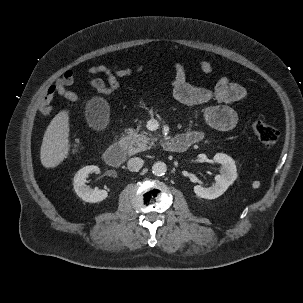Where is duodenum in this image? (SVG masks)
<instances>
[{"instance_id":"obj_1","label":"duodenum","mask_w":303,"mask_h":303,"mask_svg":"<svg viewBox=\"0 0 303 303\" xmlns=\"http://www.w3.org/2000/svg\"><path fill=\"white\" fill-rule=\"evenodd\" d=\"M192 144L193 141L190 138L178 135L167 139L163 143V148L167 152L180 153L184 152ZM125 155L126 150L124 145L116 142L107 148L104 153V159L109 166L117 167L124 161Z\"/></svg>"}]
</instances>
